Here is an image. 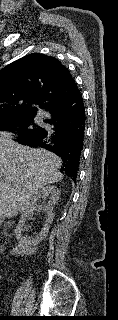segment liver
<instances>
[{
	"label": "liver",
	"mask_w": 118,
	"mask_h": 320,
	"mask_svg": "<svg viewBox=\"0 0 118 320\" xmlns=\"http://www.w3.org/2000/svg\"><path fill=\"white\" fill-rule=\"evenodd\" d=\"M12 138L10 133L0 132V216L4 217L24 212L42 187L63 179L57 155Z\"/></svg>",
	"instance_id": "obj_1"
}]
</instances>
